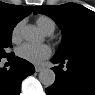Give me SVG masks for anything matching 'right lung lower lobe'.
Returning a JSON list of instances; mask_svg holds the SVG:
<instances>
[{"instance_id": "obj_1", "label": "right lung lower lobe", "mask_w": 95, "mask_h": 95, "mask_svg": "<svg viewBox=\"0 0 95 95\" xmlns=\"http://www.w3.org/2000/svg\"><path fill=\"white\" fill-rule=\"evenodd\" d=\"M10 57L13 60L14 55ZM34 71L32 64L16 57L10 70L0 69V95H19L21 82Z\"/></svg>"}]
</instances>
